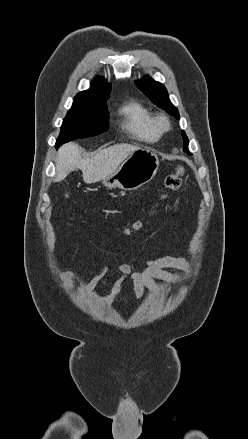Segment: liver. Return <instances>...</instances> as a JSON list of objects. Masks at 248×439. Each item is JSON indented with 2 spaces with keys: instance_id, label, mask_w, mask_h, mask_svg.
<instances>
[{
  "instance_id": "obj_1",
  "label": "liver",
  "mask_w": 248,
  "mask_h": 439,
  "mask_svg": "<svg viewBox=\"0 0 248 439\" xmlns=\"http://www.w3.org/2000/svg\"><path fill=\"white\" fill-rule=\"evenodd\" d=\"M138 146L121 143L107 147L91 158L81 156V148L75 143L63 145L57 153L55 182L64 180L75 169H80L86 184L96 183L114 173Z\"/></svg>"
}]
</instances>
